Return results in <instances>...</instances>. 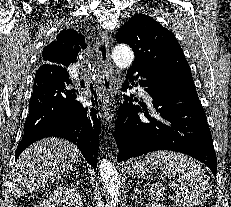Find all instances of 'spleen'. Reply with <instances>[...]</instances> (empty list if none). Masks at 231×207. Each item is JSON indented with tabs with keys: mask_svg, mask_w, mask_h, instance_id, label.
Instances as JSON below:
<instances>
[{
	"mask_svg": "<svg viewBox=\"0 0 231 207\" xmlns=\"http://www.w3.org/2000/svg\"><path fill=\"white\" fill-rule=\"evenodd\" d=\"M145 161L159 165L168 178L177 181V191L172 197L178 207L201 204L210 196L212 187L201 166L187 155L161 150L147 154ZM166 187L157 182L150 188V195L157 200L165 198Z\"/></svg>",
	"mask_w": 231,
	"mask_h": 207,
	"instance_id": "spleen-1",
	"label": "spleen"
}]
</instances>
